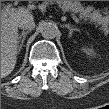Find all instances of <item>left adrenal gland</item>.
<instances>
[{"instance_id": "1", "label": "left adrenal gland", "mask_w": 109, "mask_h": 109, "mask_svg": "<svg viewBox=\"0 0 109 109\" xmlns=\"http://www.w3.org/2000/svg\"><path fill=\"white\" fill-rule=\"evenodd\" d=\"M64 26L69 29V37L72 36V33H73L74 31H79L78 28H76V27L74 28V27L70 26L69 24H65Z\"/></svg>"}]
</instances>
